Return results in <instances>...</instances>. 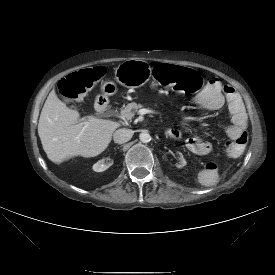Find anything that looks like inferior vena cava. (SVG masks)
I'll return each mask as SVG.
<instances>
[{
    "label": "inferior vena cava",
    "mask_w": 275,
    "mask_h": 275,
    "mask_svg": "<svg viewBox=\"0 0 275 275\" xmlns=\"http://www.w3.org/2000/svg\"><path fill=\"white\" fill-rule=\"evenodd\" d=\"M133 133L134 132L131 129H126V128L118 129L117 131L114 132L113 139L115 143L123 144L132 138Z\"/></svg>",
    "instance_id": "602c4592"
}]
</instances>
